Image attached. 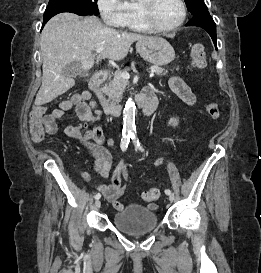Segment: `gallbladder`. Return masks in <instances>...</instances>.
Returning <instances> with one entry per match:
<instances>
[{
  "mask_svg": "<svg viewBox=\"0 0 261 273\" xmlns=\"http://www.w3.org/2000/svg\"><path fill=\"white\" fill-rule=\"evenodd\" d=\"M62 75L71 76V77H76V76L88 77L89 73L81 70L80 63L72 62L64 66L62 70Z\"/></svg>",
  "mask_w": 261,
  "mask_h": 273,
  "instance_id": "bac80fb5",
  "label": "gallbladder"
}]
</instances>
